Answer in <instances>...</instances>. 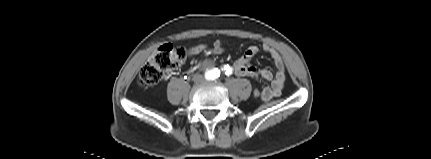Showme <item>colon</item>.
<instances>
[{
    "label": "colon",
    "instance_id": "colon-1",
    "mask_svg": "<svg viewBox=\"0 0 431 159\" xmlns=\"http://www.w3.org/2000/svg\"><path fill=\"white\" fill-rule=\"evenodd\" d=\"M188 51L184 47H177L171 44L160 46L141 68L138 83L146 87L161 81L171 70L179 67L186 59ZM208 54L213 56L226 54L225 48H211ZM231 54V51H227ZM253 96L261 97V88H253Z\"/></svg>",
    "mask_w": 431,
    "mask_h": 159
}]
</instances>
